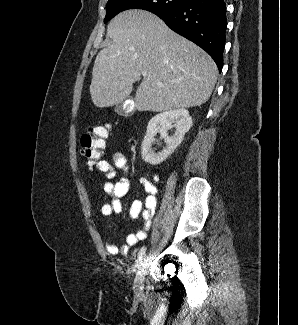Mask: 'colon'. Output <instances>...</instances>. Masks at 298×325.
Instances as JSON below:
<instances>
[{"instance_id":"1","label":"colon","mask_w":298,"mask_h":325,"mask_svg":"<svg viewBox=\"0 0 298 325\" xmlns=\"http://www.w3.org/2000/svg\"><path fill=\"white\" fill-rule=\"evenodd\" d=\"M108 131V127L92 126L82 135L81 154L86 159L89 168H93L100 161Z\"/></svg>"}]
</instances>
